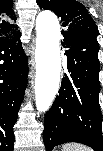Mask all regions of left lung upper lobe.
Wrapping results in <instances>:
<instances>
[{
  "label": "left lung upper lobe",
  "mask_w": 103,
  "mask_h": 151,
  "mask_svg": "<svg viewBox=\"0 0 103 151\" xmlns=\"http://www.w3.org/2000/svg\"><path fill=\"white\" fill-rule=\"evenodd\" d=\"M40 8L53 11L61 18L62 33L97 37L98 28L83 4L76 0H37Z\"/></svg>",
  "instance_id": "5c2ea615"
}]
</instances>
